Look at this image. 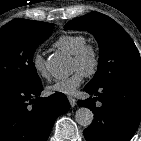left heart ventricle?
Listing matches in <instances>:
<instances>
[{
    "mask_svg": "<svg viewBox=\"0 0 141 141\" xmlns=\"http://www.w3.org/2000/svg\"><path fill=\"white\" fill-rule=\"evenodd\" d=\"M87 64H79L78 62H76L74 59L72 61V68L73 70H78L80 72L83 71V69L86 67Z\"/></svg>",
    "mask_w": 141,
    "mask_h": 141,
    "instance_id": "obj_1",
    "label": "left heart ventricle"
}]
</instances>
